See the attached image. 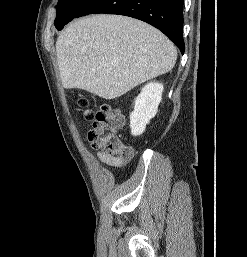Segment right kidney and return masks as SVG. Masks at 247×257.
Instances as JSON below:
<instances>
[{
    "label": "right kidney",
    "mask_w": 247,
    "mask_h": 257,
    "mask_svg": "<svg viewBox=\"0 0 247 257\" xmlns=\"http://www.w3.org/2000/svg\"><path fill=\"white\" fill-rule=\"evenodd\" d=\"M163 85L158 82L147 83L135 99L134 111L130 114V128L133 136L141 135L158 110L162 99Z\"/></svg>",
    "instance_id": "obj_1"
}]
</instances>
